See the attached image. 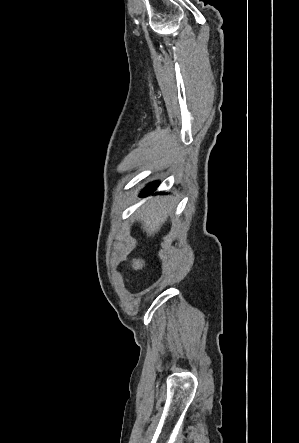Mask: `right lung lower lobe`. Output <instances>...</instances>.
Listing matches in <instances>:
<instances>
[{
    "label": "right lung lower lobe",
    "mask_w": 299,
    "mask_h": 443,
    "mask_svg": "<svg viewBox=\"0 0 299 443\" xmlns=\"http://www.w3.org/2000/svg\"><path fill=\"white\" fill-rule=\"evenodd\" d=\"M157 183H158V182H153V183L149 184V185L146 187V189L143 190L141 196L149 195V194H151L153 191H155V189H156V187H157V186H156Z\"/></svg>",
    "instance_id": "right-lung-lower-lobe-1"
}]
</instances>
